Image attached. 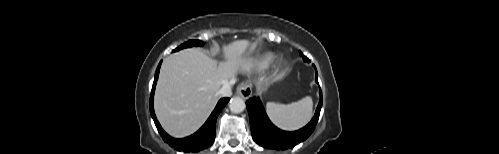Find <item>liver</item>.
I'll use <instances>...</instances> for the list:
<instances>
[{
    "mask_svg": "<svg viewBox=\"0 0 499 154\" xmlns=\"http://www.w3.org/2000/svg\"><path fill=\"white\" fill-rule=\"evenodd\" d=\"M252 43L237 40L223 45L224 61L217 62L198 48L166 57L155 92V113L164 130L182 138L197 131L218 102L222 85L249 69Z\"/></svg>",
    "mask_w": 499,
    "mask_h": 154,
    "instance_id": "liver-1",
    "label": "liver"
}]
</instances>
